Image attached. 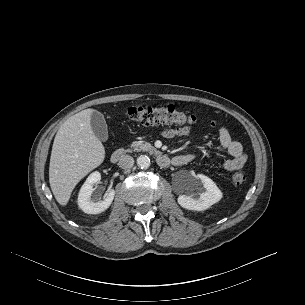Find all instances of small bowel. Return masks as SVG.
Listing matches in <instances>:
<instances>
[{
  "instance_id": "c3829d8e",
  "label": "small bowel",
  "mask_w": 305,
  "mask_h": 305,
  "mask_svg": "<svg viewBox=\"0 0 305 305\" xmlns=\"http://www.w3.org/2000/svg\"><path fill=\"white\" fill-rule=\"evenodd\" d=\"M191 133L192 129L189 126H165L161 130L162 137L166 139L186 137ZM218 135L221 148L231 156V158L222 163V168L229 172L242 168L247 161V154L244 152L242 144L236 140H233L229 131L225 127H219ZM196 158L197 154L186 153L174 156L172 160L175 166H181L194 161Z\"/></svg>"
}]
</instances>
